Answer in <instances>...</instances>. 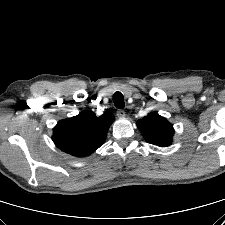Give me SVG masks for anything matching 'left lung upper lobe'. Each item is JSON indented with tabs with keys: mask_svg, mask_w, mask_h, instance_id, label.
I'll return each mask as SVG.
<instances>
[{
	"mask_svg": "<svg viewBox=\"0 0 225 225\" xmlns=\"http://www.w3.org/2000/svg\"><path fill=\"white\" fill-rule=\"evenodd\" d=\"M137 126L145 140L151 144L166 147L172 142L173 126L158 113L145 116L137 122Z\"/></svg>",
	"mask_w": 225,
	"mask_h": 225,
	"instance_id": "1",
	"label": "left lung upper lobe"
}]
</instances>
